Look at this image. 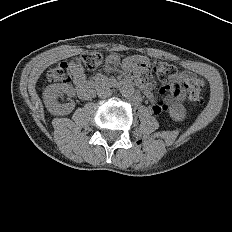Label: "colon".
Returning <instances> with one entry per match:
<instances>
[{
    "label": "colon",
    "instance_id": "obj_1",
    "mask_svg": "<svg viewBox=\"0 0 232 232\" xmlns=\"http://www.w3.org/2000/svg\"><path fill=\"white\" fill-rule=\"evenodd\" d=\"M103 56L99 52H89L81 55L71 64L61 62L53 66L48 72V79L52 83H66L70 81L72 66H78L87 70H94L101 65ZM153 71L163 82L171 81L176 75L174 66L161 61L153 63ZM188 99L192 102H199L202 98V85L191 83L186 86Z\"/></svg>",
    "mask_w": 232,
    "mask_h": 232
}]
</instances>
